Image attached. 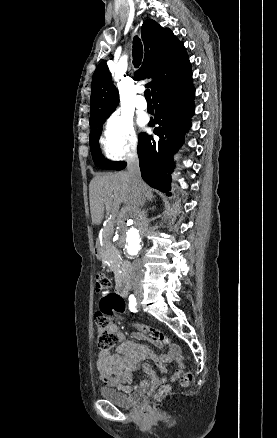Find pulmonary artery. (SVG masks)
I'll return each instance as SVG.
<instances>
[{"instance_id":"1","label":"pulmonary artery","mask_w":277,"mask_h":438,"mask_svg":"<svg viewBox=\"0 0 277 438\" xmlns=\"http://www.w3.org/2000/svg\"><path fill=\"white\" fill-rule=\"evenodd\" d=\"M135 106L140 110H145L147 108V103L144 98L140 97L135 100Z\"/></svg>"}]
</instances>
